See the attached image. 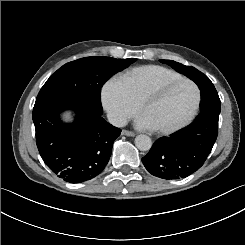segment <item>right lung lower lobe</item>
<instances>
[{
    "label": "right lung lower lobe",
    "instance_id": "98d812e1",
    "mask_svg": "<svg viewBox=\"0 0 245 245\" xmlns=\"http://www.w3.org/2000/svg\"><path fill=\"white\" fill-rule=\"evenodd\" d=\"M73 109L76 121L64 124L59 113ZM33 122L36 143L45 164L58 177L80 183L99 175L112 153L114 140L121 130L101 115L72 101H51L35 105Z\"/></svg>",
    "mask_w": 245,
    "mask_h": 245
}]
</instances>
